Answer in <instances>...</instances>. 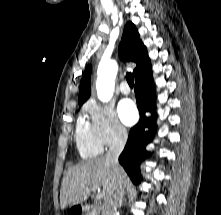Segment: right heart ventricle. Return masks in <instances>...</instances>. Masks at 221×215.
<instances>
[{
	"mask_svg": "<svg viewBox=\"0 0 221 215\" xmlns=\"http://www.w3.org/2000/svg\"><path fill=\"white\" fill-rule=\"evenodd\" d=\"M76 145L83 158H89L101 153L102 145L96 139L91 124L80 118L76 127Z\"/></svg>",
	"mask_w": 221,
	"mask_h": 215,
	"instance_id": "obj_1",
	"label": "right heart ventricle"
}]
</instances>
